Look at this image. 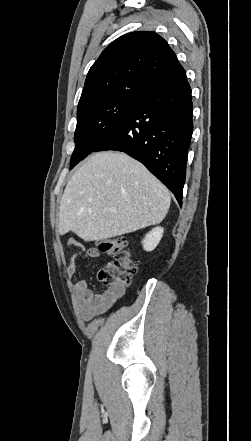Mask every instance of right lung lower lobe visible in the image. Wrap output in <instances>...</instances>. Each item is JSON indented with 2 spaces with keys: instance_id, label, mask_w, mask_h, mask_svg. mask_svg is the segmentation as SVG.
<instances>
[{
  "instance_id": "obj_1",
  "label": "right lung lower lobe",
  "mask_w": 251,
  "mask_h": 441,
  "mask_svg": "<svg viewBox=\"0 0 251 441\" xmlns=\"http://www.w3.org/2000/svg\"><path fill=\"white\" fill-rule=\"evenodd\" d=\"M191 88L185 70L154 84L93 152L122 151L144 164L182 205L193 132Z\"/></svg>"
}]
</instances>
